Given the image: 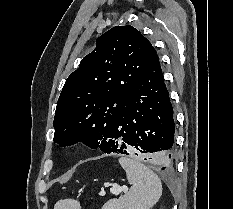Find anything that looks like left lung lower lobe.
I'll return each mask as SVG.
<instances>
[{
  "label": "left lung lower lobe",
  "instance_id": "1",
  "mask_svg": "<svg viewBox=\"0 0 233 209\" xmlns=\"http://www.w3.org/2000/svg\"><path fill=\"white\" fill-rule=\"evenodd\" d=\"M174 131L173 109L156 55L110 126L101 150L164 165L173 157Z\"/></svg>",
  "mask_w": 233,
  "mask_h": 209
}]
</instances>
